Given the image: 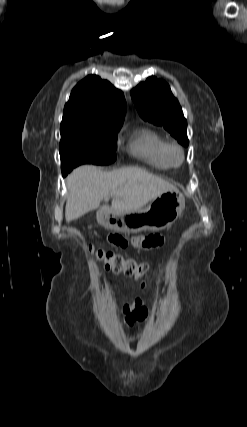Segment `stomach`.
<instances>
[{"mask_svg":"<svg viewBox=\"0 0 247 427\" xmlns=\"http://www.w3.org/2000/svg\"><path fill=\"white\" fill-rule=\"evenodd\" d=\"M184 208L185 198L175 189L160 194L144 209L130 212L99 210L97 221L103 227L117 232L160 231L171 226L181 216Z\"/></svg>","mask_w":247,"mask_h":427,"instance_id":"0dacf381","label":"stomach"}]
</instances>
